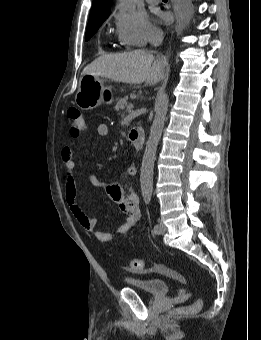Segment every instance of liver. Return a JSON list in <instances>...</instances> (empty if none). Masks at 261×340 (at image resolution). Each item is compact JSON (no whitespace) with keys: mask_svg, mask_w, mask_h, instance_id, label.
I'll use <instances>...</instances> for the list:
<instances>
[{"mask_svg":"<svg viewBox=\"0 0 261 340\" xmlns=\"http://www.w3.org/2000/svg\"><path fill=\"white\" fill-rule=\"evenodd\" d=\"M84 74L105 77L117 82L155 85L163 78V63L146 50L104 54L87 65Z\"/></svg>","mask_w":261,"mask_h":340,"instance_id":"obj_1","label":"liver"}]
</instances>
